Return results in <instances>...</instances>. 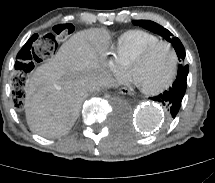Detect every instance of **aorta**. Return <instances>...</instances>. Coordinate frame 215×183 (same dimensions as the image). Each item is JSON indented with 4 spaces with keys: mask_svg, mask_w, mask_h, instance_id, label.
<instances>
[{
    "mask_svg": "<svg viewBox=\"0 0 215 183\" xmlns=\"http://www.w3.org/2000/svg\"><path fill=\"white\" fill-rule=\"evenodd\" d=\"M164 114L162 109L151 103H144L135 110V123L143 130L152 131L162 124Z\"/></svg>",
    "mask_w": 215,
    "mask_h": 183,
    "instance_id": "obj_1",
    "label": "aorta"
}]
</instances>
